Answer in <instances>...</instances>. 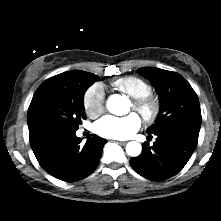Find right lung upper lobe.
Returning a JSON list of instances; mask_svg holds the SVG:
<instances>
[{
  "label": "right lung upper lobe",
  "mask_w": 221,
  "mask_h": 221,
  "mask_svg": "<svg viewBox=\"0 0 221 221\" xmlns=\"http://www.w3.org/2000/svg\"><path fill=\"white\" fill-rule=\"evenodd\" d=\"M41 137L42 136H40V135H36V134L29 132L30 144H34Z\"/></svg>",
  "instance_id": "1"
}]
</instances>
